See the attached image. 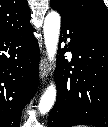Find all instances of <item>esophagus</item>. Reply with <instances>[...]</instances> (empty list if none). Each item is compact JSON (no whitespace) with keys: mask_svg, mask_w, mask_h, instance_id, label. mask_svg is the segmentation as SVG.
Here are the masks:
<instances>
[{"mask_svg":"<svg viewBox=\"0 0 108 127\" xmlns=\"http://www.w3.org/2000/svg\"><path fill=\"white\" fill-rule=\"evenodd\" d=\"M39 69H40V77L42 81H44L48 77L50 72L48 60L45 57L41 59Z\"/></svg>","mask_w":108,"mask_h":127,"instance_id":"34e87169","label":"esophagus"}]
</instances>
